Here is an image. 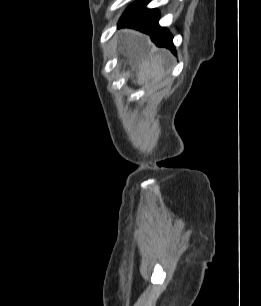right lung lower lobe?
I'll return each mask as SVG.
<instances>
[{
    "mask_svg": "<svg viewBox=\"0 0 261 306\" xmlns=\"http://www.w3.org/2000/svg\"><path fill=\"white\" fill-rule=\"evenodd\" d=\"M148 2L149 0H138L133 3L121 17L119 25L149 34L157 46L166 47L175 52L172 35L167 29L158 25V11L145 8Z\"/></svg>",
    "mask_w": 261,
    "mask_h": 306,
    "instance_id": "obj_1",
    "label": "right lung lower lobe"
}]
</instances>
